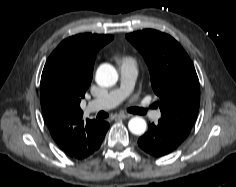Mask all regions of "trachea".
<instances>
[{"mask_svg":"<svg viewBox=\"0 0 236 187\" xmlns=\"http://www.w3.org/2000/svg\"><path fill=\"white\" fill-rule=\"evenodd\" d=\"M133 112L137 113V114H145L146 113L145 110L140 109V108H134ZM106 117H108V114L103 111L99 112L97 115V118H106Z\"/></svg>","mask_w":236,"mask_h":187,"instance_id":"1","label":"trachea"}]
</instances>
